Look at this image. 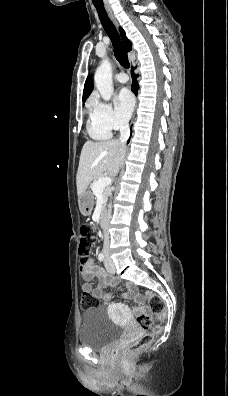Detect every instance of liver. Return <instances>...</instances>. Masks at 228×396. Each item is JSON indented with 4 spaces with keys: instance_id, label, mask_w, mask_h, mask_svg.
Masks as SVG:
<instances>
[{
    "instance_id": "liver-1",
    "label": "liver",
    "mask_w": 228,
    "mask_h": 396,
    "mask_svg": "<svg viewBox=\"0 0 228 396\" xmlns=\"http://www.w3.org/2000/svg\"><path fill=\"white\" fill-rule=\"evenodd\" d=\"M126 155V145L120 140L85 142L79 160L76 185L80 197L91 181L98 179L103 172L115 177Z\"/></svg>"
}]
</instances>
